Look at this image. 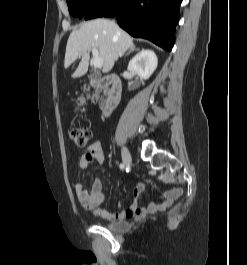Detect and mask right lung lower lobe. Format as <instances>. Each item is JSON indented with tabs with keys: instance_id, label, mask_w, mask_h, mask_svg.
<instances>
[{
	"instance_id": "obj_1",
	"label": "right lung lower lobe",
	"mask_w": 247,
	"mask_h": 265,
	"mask_svg": "<svg viewBox=\"0 0 247 265\" xmlns=\"http://www.w3.org/2000/svg\"><path fill=\"white\" fill-rule=\"evenodd\" d=\"M181 1L103 0L87 12L85 20L116 16L120 27L133 37L148 39L170 51L174 45Z\"/></svg>"
}]
</instances>
